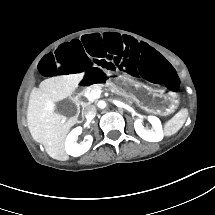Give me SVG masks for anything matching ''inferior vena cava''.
<instances>
[{"label":"inferior vena cava","instance_id":"obj_1","mask_svg":"<svg viewBox=\"0 0 215 215\" xmlns=\"http://www.w3.org/2000/svg\"><path fill=\"white\" fill-rule=\"evenodd\" d=\"M82 112L88 120H91L96 116L97 109L94 105H88L83 109Z\"/></svg>","mask_w":215,"mask_h":215}]
</instances>
